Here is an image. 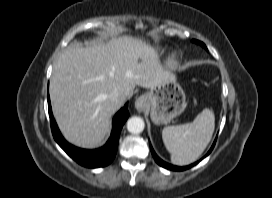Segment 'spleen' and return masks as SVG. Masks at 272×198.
<instances>
[{"label": "spleen", "mask_w": 272, "mask_h": 198, "mask_svg": "<svg viewBox=\"0 0 272 198\" xmlns=\"http://www.w3.org/2000/svg\"><path fill=\"white\" fill-rule=\"evenodd\" d=\"M215 128V116L206 108L193 122L168 126L162 130V139L175 165H188L199 158L209 144Z\"/></svg>", "instance_id": "spleen-1"}]
</instances>
